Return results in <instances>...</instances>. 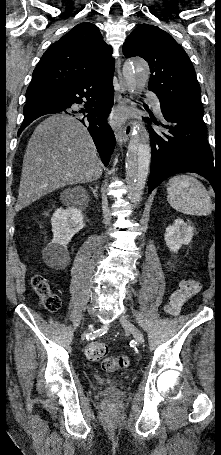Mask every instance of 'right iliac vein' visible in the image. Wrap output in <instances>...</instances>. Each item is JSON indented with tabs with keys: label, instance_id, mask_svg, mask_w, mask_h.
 Segmentation results:
<instances>
[{
	"label": "right iliac vein",
	"instance_id": "right-iliac-vein-1",
	"mask_svg": "<svg viewBox=\"0 0 221 455\" xmlns=\"http://www.w3.org/2000/svg\"><path fill=\"white\" fill-rule=\"evenodd\" d=\"M92 328H93V326H92V325H90V326L88 327V330H90V329H92Z\"/></svg>",
	"mask_w": 221,
	"mask_h": 455
}]
</instances>
